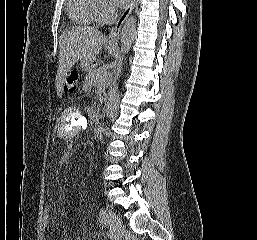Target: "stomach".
<instances>
[{
  "label": "stomach",
  "instance_id": "1",
  "mask_svg": "<svg viewBox=\"0 0 257 240\" xmlns=\"http://www.w3.org/2000/svg\"><path fill=\"white\" fill-rule=\"evenodd\" d=\"M107 50L109 53H113L116 50V46L108 44ZM93 64L94 61H82L81 66L85 71H90L91 69H93Z\"/></svg>",
  "mask_w": 257,
  "mask_h": 240
}]
</instances>
